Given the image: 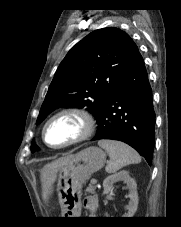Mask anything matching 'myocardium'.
I'll return each instance as SVG.
<instances>
[{
	"mask_svg": "<svg viewBox=\"0 0 181 227\" xmlns=\"http://www.w3.org/2000/svg\"><path fill=\"white\" fill-rule=\"evenodd\" d=\"M61 116H71L76 118L81 124V131L76 137L67 141L66 143L54 146L47 142L46 130L52 121H54L55 119ZM94 128H95V120L89 111L85 109L77 108V107H67L57 111L46 120L42 128L41 136H42L43 142L48 147L53 149H62L87 140L92 135Z\"/></svg>",
	"mask_w": 181,
	"mask_h": 227,
	"instance_id": "myocardium-1",
	"label": "myocardium"
}]
</instances>
